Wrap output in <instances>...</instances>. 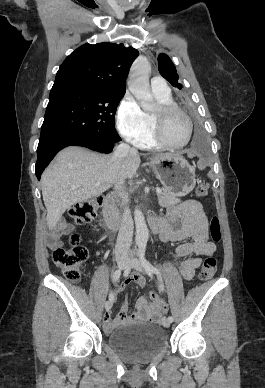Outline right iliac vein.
<instances>
[{
	"label": "right iliac vein",
	"instance_id": "obj_1",
	"mask_svg": "<svg viewBox=\"0 0 265 388\" xmlns=\"http://www.w3.org/2000/svg\"><path fill=\"white\" fill-rule=\"evenodd\" d=\"M117 265L120 269H125L127 267L128 260L124 256H118L116 258ZM112 307V301L109 300L105 303V309L108 311Z\"/></svg>",
	"mask_w": 265,
	"mask_h": 388
}]
</instances>
